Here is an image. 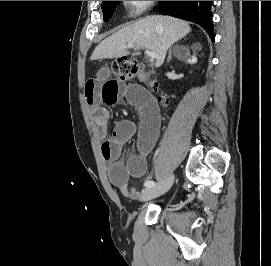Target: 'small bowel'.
I'll return each instance as SVG.
<instances>
[{
	"label": "small bowel",
	"instance_id": "obj_1",
	"mask_svg": "<svg viewBox=\"0 0 271 266\" xmlns=\"http://www.w3.org/2000/svg\"><path fill=\"white\" fill-rule=\"evenodd\" d=\"M85 98L91 107L96 134L104 139L101 151L104 159L111 163V183L125 197L140 199L142 193L130 186L129 178L142 177L147 171L146 155L155 145L160 131V114L155 101L139 86L116 79L105 69L87 80ZM121 100H126L139 112V123L120 120L108 137L109 112L105 106L115 105ZM133 137L137 138L138 152L124 162L120 160L122 148Z\"/></svg>",
	"mask_w": 271,
	"mask_h": 266
}]
</instances>
